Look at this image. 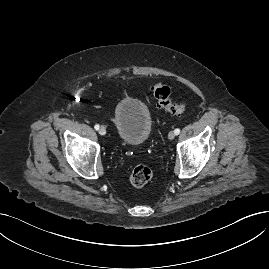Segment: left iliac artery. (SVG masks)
I'll list each match as a JSON object with an SVG mask.
<instances>
[{
    "label": "left iliac artery",
    "instance_id": "obj_1",
    "mask_svg": "<svg viewBox=\"0 0 269 269\" xmlns=\"http://www.w3.org/2000/svg\"><path fill=\"white\" fill-rule=\"evenodd\" d=\"M174 132L176 135H178L180 133V129H175Z\"/></svg>",
    "mask_w": 269,
    "mask_h": 269
}]
</instances>
